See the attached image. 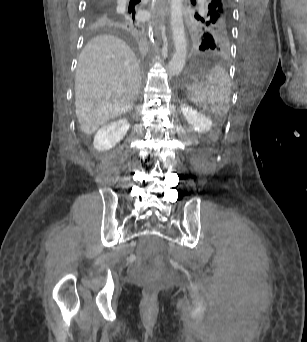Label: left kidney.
Returning a JSON list of instances; mask_svg holds the SVG:
<instances>
[{"instance_id": "obj_1", "label": "left kidney", "mask_w": 307, "mask_h": 342, "mask_svg": "<svg viewBox=\"0 0 307 342\" xmlns=\"http://www.w3.org/2000/svg\"><path fill=\"white\" fill-rule=\"evenodd\" d=\"M180 110L194 132L204 134V132H209V130H211L213 124L208 116H204L201 112H197V110H193V108H189V106H184V104L180 106Z\"/></svg>"}]
</instances>
